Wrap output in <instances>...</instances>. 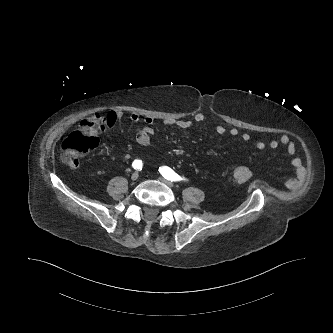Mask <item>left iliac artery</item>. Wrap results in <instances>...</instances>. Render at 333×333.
<instances>
[{
  "label": "left iliac artery",
  "instance_id": "left-iliac-artery-1",
  "mask_svg": "<svg viewBox=\"0 0 333 333\" xmlns=\"http://www.w3.org/2000/svg\"><path fill=\"white\" fill-rule=\"evenodd\" d=\"M159 172L161 173V175L170 181H181V180H185V178L180 177L178 174H176L171 168L167 167V166H162L159 167Z\"/></svg>",
  "mask_w": 333,
  "mask_h": 333
}]
</instances>
